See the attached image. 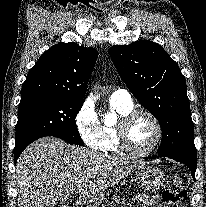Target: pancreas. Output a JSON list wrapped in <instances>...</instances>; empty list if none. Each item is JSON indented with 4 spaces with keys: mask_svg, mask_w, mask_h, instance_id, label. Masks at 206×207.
<instances>
[{
    "mask_svg": "<svg viewBox=\"0 0 206 207\" xmlns=\"http://www.w3.org/2000/svg\"><path fill=\"white\" fill-rule=\"evenodd\" d=\"M112 202L109 203V207H115L116 204L120 205L119 207H124L125 205H128L127 201L123 198H120L119 196L114 195L113 197H111ZM102 207H105L104 205Z\"/></svg>",
    "mask_w": 206,
    "mask_h": 207,
    "instance_id": "pancreas-1",
    "label": "pancreas"
}]
</instances>
